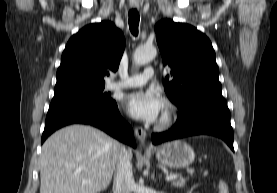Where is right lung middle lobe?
<instances>
[{
    "mask_svg": "<svg viewBox=\"0 0 277 193\" xmlns=\"http://www.w3.org/2000/svg\"><path fill=\"white\" fill-rule=\"evenodd\" d=\"M105 85H100L96 87H88L66 91L63 93L55 94L59 96H75L90 99L102 104H110L114 100L110 97L109 92H103Z\"/></svg>",
    "mask_w": 277,
    "mask_h": 193,
    "instance_id": "dd1d6c3e",
    "label": "right lung middle lobe"
}]
</instances>
